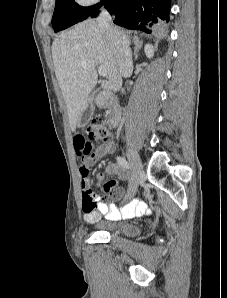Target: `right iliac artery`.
<instances>
[{
	"label": "right iliac artery",
	"mask_w": 227,
	"mask_h": 298,
	"mask_svg": "<svg viewBox=\"0 0 227 298\" xmlns=\"http://www.w3.org/2000/svg\"><path fill=\"white\" fill-rule=\"evenodd\" d=\"M118 164L124 168V169H131L130 164L127 162V160L123 157H117Z\"/></svg>",
	"instance_id": "82829eb1"
}]
</instances>
